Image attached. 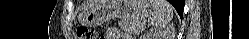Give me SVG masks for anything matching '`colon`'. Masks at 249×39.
Instances as JSON below:
<instances>
[{
    "instance_id": "obj_1",
    "label": "colon",
    "mask_w": 249,
    "mask_h": 39,
    "mask_svg": "<svg viewBox=\"0 0 249 39\" xmlns=\"http://www.w3.org/2000/svg\"><path fill=\"white\" fill-rule=\"evenodd\" d=\"M77 35L79 39H95V35L86 26H81L77 30Z\"/></svg>"
}]
</instances>
